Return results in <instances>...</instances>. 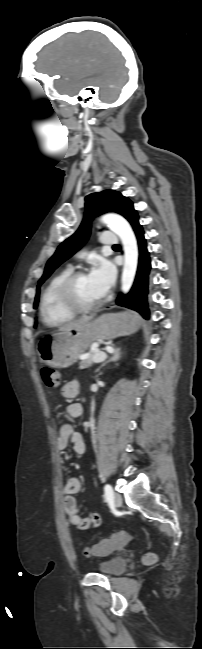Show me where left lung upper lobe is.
I'll list each match as a JSON object with an SVG mask.
<instances>
[{"label":"left lung upper lobe","instance_id":"5c2ea615","mask_svg":"<svg viewBox=\"0 0 202 649\" xmlns=\"http://www.w3.org/2000/svg\"><path fill=\"white\" fill-rule=\"evenodd\" d=\"M85 215L78 230L66 239L56 250L55 254L48 260L43 276L38 282L37 292L34 301V308H37L40 297V285L51 275V273L65 260L71 257L88 239L90 235V222L93 217L105 212H117L124 216L129 222L137 215L130 199L114 190H104L92 193L85 198Z\"/></svg>","mask_w":202,"mask_h":649}]
</instances>
